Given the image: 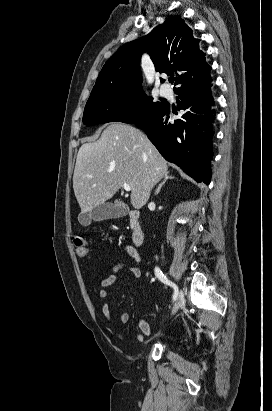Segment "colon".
<instances>
[{"mask_svg": "<svg viewBox=\"0 0 272 411\" xmlns=\"http://www.w3.org/2000/svg\"><path fill=\"white\" fill-rule=\"evenodd\" d=\"M76 254L79 257H85L88 254V244L83 238H76L75 241Z\"/></svg>", "mask_w": 272, "mask_h": 411, "instance_id": "1", "label": "colon"}]
</instances>
